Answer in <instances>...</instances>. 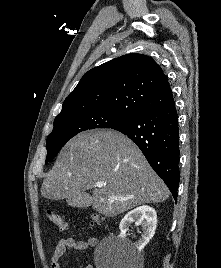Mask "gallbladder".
I'll use <instances>...</instances> for the list:
<instances>
[{"label": "gallbladder", "instance_id": "bac80fb5", "mask_svg": "<svg viewBox=\"0 0 221 268\" xmlns=\"http://www.w3.org/2000/svg\"><path fill=\"white\" fill-rule=\"evenodd\" d=\"M84 199H70L69 203L72 207L87 208L90 204V195L88 193L83 194Z\"/></svg>", "mask_w": 221, "mask_h": 268}]
</instances>
